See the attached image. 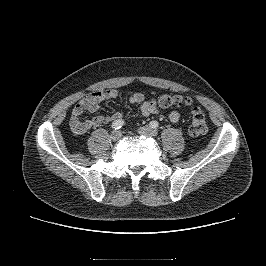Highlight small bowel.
<instances>
[{"label": "small bowel", "instance_id": "small-bowel-1", "mask_svg": "<svg viewBox=\"0 0 266 266\" xmlns=\"http://www.w3.org/2000/svg\"><path fill=\"white\" fill-rule=\"evenodd\" d=\"M118 96V92L115 89L98 90L87 94L81 100H79L71 112L70 128L76 135H83L92 128L98 127L105 122L112 121L114 119H120L122 112H116L113 115H96L90 119H83L84 112H97L104 102L115 99ZM160 97L154 96L150 99H146L143 94L135 93L129 97L131 104L139 107L140 113L143 116H149L151 114H159L160 106L158 100ZM169 120L176 123L180 120V114L178 111L173 110L169 114Z\"/></svg>", "mask_w": 266, "mask_h": 266}]
</instances>
